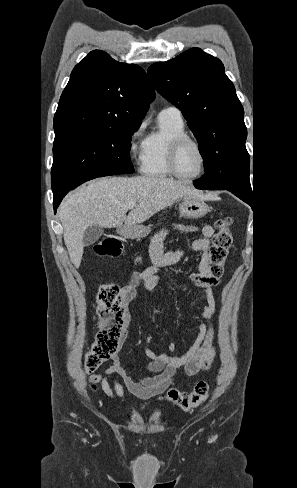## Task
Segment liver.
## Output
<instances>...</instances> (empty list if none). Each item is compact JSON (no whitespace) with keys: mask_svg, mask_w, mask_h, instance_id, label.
Here are the masks:
<instances>
[{"mask_svg":"<svg viewBox=\"0 0 297 488\" xmlns=\"http://www.w3.org/2000/svg\"><path fill=\"white\" fill-rule=\"evenodd\" d=\"M193 196L206 198L196 189L163 177H103L82 185L70 192L59 208L70 261L80 267L83 235L89 226L120 228L140 224L177 199ZM130 202L136 206L126 216L124 205Z\"/></svg>","mask_w":297,"mask_h":488,"instance_id":"1","label":"liver"}]
</instances>
